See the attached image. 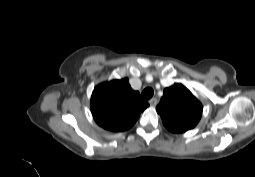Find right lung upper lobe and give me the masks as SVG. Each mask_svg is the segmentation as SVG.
Segmentation results:
<instances>
[{
	"label": "right lung upper lobe",
	"instance_id": "cb5924a9",
	"mask_svg": "<svg viewBox=\"0 0 255 177\" xmlns=\"http://www.w3.org/2000/svg\"><path fill=\"white\" fill-rule=\"evenodd\" d=\"M149 104L134 91L128 78L104 82L94 88L91 97V112L102 128L125 131L131 128Z\"/></svg>",
	"mask_w": 255,
	"mask_h": 177
}]
</instances>
